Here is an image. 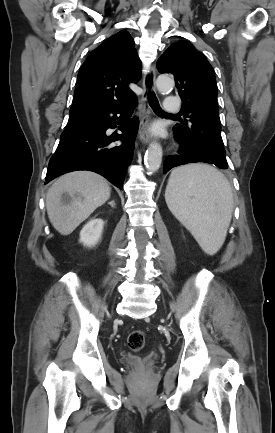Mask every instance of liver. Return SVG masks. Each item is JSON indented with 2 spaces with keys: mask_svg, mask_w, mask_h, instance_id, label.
<instances>
[{
  "mask_svg": "<svg viewBox=\"0 0 275 433\" xmlns=\"http://www.w3.org/2000/svg\"><path fill=\"white\" fill-rule=\"evenodd\" d=\"M69 197L62 200L63 194ZM111 194L107 181L94 172L75 171L59 177L49 188L46 208L49 220L61 235L71 234Z\"/></svg>",
  "mask_w": 275,
  "mask_h": 433,
  "instance_id": "liver-1",
  "label": "liver"
}]
</instances>
